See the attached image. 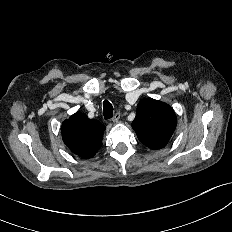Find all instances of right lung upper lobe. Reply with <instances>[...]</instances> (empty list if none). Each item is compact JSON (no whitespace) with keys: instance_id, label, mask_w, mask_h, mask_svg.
<instances>
[{"instance_id":"cb5924a9","label":"right lung upper lobe","mask_w":232,"mask_h":232,"mask_svg":"<svg viewBox=\"0 0 232 232\" xmlns=\"http://www.w3.org/2000/svg\"><path fill=\"white\" fill-rule=\"evenodd\" d=\"M104 125L76 112L65 120L61 127L65 145L82 158H91L102 146Z\"/></svg>"}]
</instances>
